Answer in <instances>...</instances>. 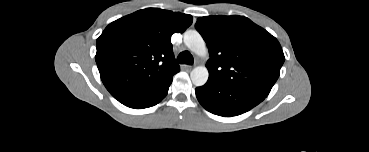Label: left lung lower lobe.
I'll return each mask as SVG.
<instances>
[{
  "mask_svg": "<svg viewBox=\"0 0 369 152\" xmlns=\"http://www.w3.org/2000/svg\"><path fill=\"white\" fill-rule=\"evenodd\" d=\"M195 93L206 110L224 117L245 113L266 97L253 91L225 86L212 79H208L204 86L197 87Z\"/></svg>",
  "mask_w": 369,
  "mask_h": 152,
  "instance_id": "1",
  "label": "left lung lower lobe"
}]
</instances>
